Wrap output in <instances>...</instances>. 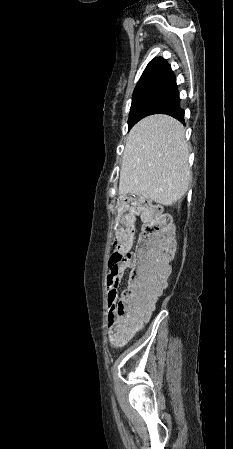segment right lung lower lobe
Returning <instances> with one entry per match:
<instances>
[{
  "instance_id": "98d812e1",
  "label": "right lung lower lobe",
  "mask_w": 233,
  "mask_h": 449,
  "mask_svg": "<svg viewBox=\"0 0 233 449\" xmlns=\"http://www.w3.org/2000/svg\"><path fill=\"white\" fill-rule=\"evenodd\" d=\"M158 113H162V114H167L170 115L176 119H178L179 121H181L182 123H184V111L180 108V102L165 108L164 110L158 112Z\"/></svg>"
}]
</instances>
